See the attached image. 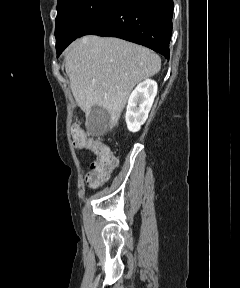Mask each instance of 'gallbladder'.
Here are the masks:
<instances>
[{
    "label": "gallbladder",
    "mask_w": 240,
    "mask_h": 288,
    "mask_svg": "<svg viewBox=\"0 0 240 288\" xmlns=\"http://www.w3.org/2000/svg\"><path fill=\"white\" fill-rule=\"evenodd\" d=\"M108 116L106 112L99 106H93L90 114L87 117V121L89 123H93L95 121L106 122Z\"/></svg>",
    "instance_id": "gallbladder-1"
}]
</instances>
